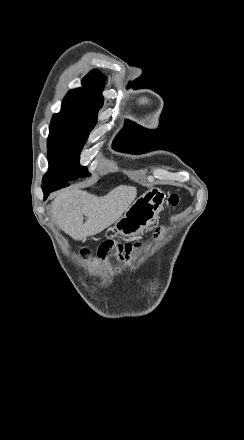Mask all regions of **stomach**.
Wrapping results in <instances>:
<instances>
[{
    "instance_id": "obj_1",
    "label": "stomach",
    "mask_w": 244,
    "mask_h": 440,
    "mask_svg": "<svg viewBox=\"0 0 244 440\" xmlns=\"http://www.w3.org/2000/svg\"><path fill=\"white\" fill-rule=\"evenodd\" d=\"M164 204V192L160 188H150L133 202L120 220H117L114 226L116 234L123 236V238L139 236L143 230H147L155 224Z\"/></svg>"
}]
</instances>
